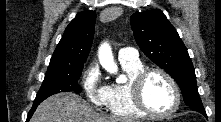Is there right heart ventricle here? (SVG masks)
<instances>
[{"mask_svg": "<svg viewBox=\"0 0 221 122\" xmlns=\"http://www.w3.org/2000/svg\"><path fill=\"white\" fill-rule=\"evenodd\" d=\"M120 64L128 76V81L125 83L115 82L107 86L108 94L105 106L112 115L117 117H144L145 114L135 106L130 92V82L139 71L144 69L143 65L141 62L131 63L127 61H120Z\"/></svg>", "mask_w": 221, "mask_h": 122, "instance_id": "e07e8e85", "label": "right heart ventricle"}]
</instances>
